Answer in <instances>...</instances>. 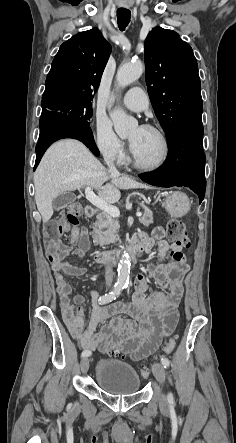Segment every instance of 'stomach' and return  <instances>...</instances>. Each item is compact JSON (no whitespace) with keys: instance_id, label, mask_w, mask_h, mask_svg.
Masks as SVG:
<instances>
[{"instance_id":"stomach-1","label":"stomach","mask_w":236,"mask_h":443,"mask_svg":"<svg viewBox=\"0 0 236 443\" xmlns=\"http://www.w3.org/2000/svg\"><path fill=\"white\" fill-rule=\"evenodd\" d=\"M164 206L171 216L182 217L189 210L190 202L185 193L173 191L167 195Z\"/></svg>"}]
</instances>
